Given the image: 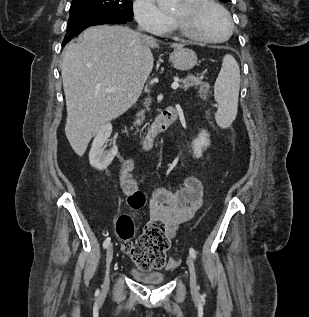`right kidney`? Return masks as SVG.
Masks as SVG:
<instances>
[{
	"instance_id": "obj_1",
	"label": "right kidney",
	"mask_w": 309,
	"mask_h": 317,
	"mask_svg": "<svg viewBox=\"0 0 309 317\" xmlns=\"http://www.w3.org/2000/svg\"><path fill=\"white\" fill-rule=\"evenodd\" d=\"M111 133L112 125L110 123L103 125L98 130L89 152L90 165L99 171L106 170L118 153V149L115 144H113L109 150H105V144L107 143Z\"/></svg>"
}]
</instances>
